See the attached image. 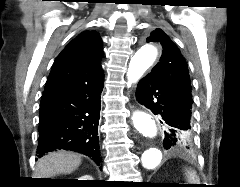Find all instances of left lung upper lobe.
Returning <instances> with one entry per match:
<instances>
[{
  "mask_svg": "<svg viewBox=\"0 0 240 187\" xmlns=\"http://www.w3.org/2000/svg\"><path fill=\"white\" fill-rule=\"evenodd\" d=\"M146 42L161 43L163 47L160 62L152 69L151 76L176 92L191 96V82L184 57L175 43L159 28L151 32ZM183 139H192V131L182 133Z\"/></svg>",
  "mask_w": 240,
  "mask_h": 187,
  "instance_id": "obj_1",
  "label": "left lung upper lobe"
}]
</instances>
